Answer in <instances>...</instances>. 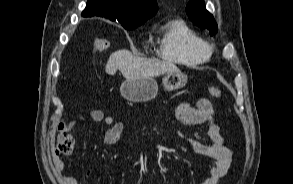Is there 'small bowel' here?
<instances>
[{
	"label": "small bowel",
	"mask_w": 293,
	"mask_h": 184,
	"mask_svg": "<svg viewBox=\"0 0 293 184\" xmlns=\"http://www.w3.org/2000/svg\"><path fill=\"white\" fill-rule=\"evenodd\" d=\"M174 112L176 118L182 123L184 128L196 125L205 126L208 143L190 138L182 130L179 132V136L187 142L193 152L214 161V166L211 168L209 176L201 184H220L221 179L231 167L233 152L225 144L224 137L216 122L211 102L205 98L199 99L195 105L182 102L176 106ZM84 120L105 124L106 130L103 142L106 145L116 144L125 128L123 123L114 122L111 116L105 115L102 110L98 109H93L75 116L66 127L68 130H71ZM53 167L57 173H61L65 168V163L59 156L55 155L53 157ZM93 172V169H88L86 176L89 178ZM60 183L79 184L78 180L71 175H61Z\"/></svg>",
	"instance_id": "small-bowel-1"
}]
</instances>
